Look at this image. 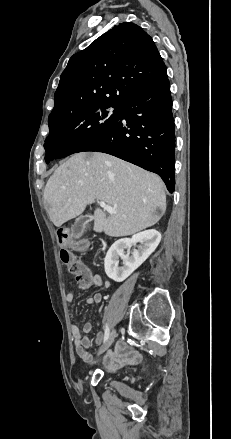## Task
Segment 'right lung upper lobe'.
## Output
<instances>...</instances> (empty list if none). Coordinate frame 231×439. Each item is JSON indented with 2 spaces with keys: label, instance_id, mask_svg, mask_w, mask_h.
Here are the masks:
<instances>
[{
  "label": "right lung upper lobe",
  "instance_id": "obj_1",
  "mask_svg": "<svg viewBox=\"0 0 231 439\" xmlns=\"http://www.w3.org/2000/svg\"><path fill=\"white\" fill-rule=\"evenodd\" d=\"M168 81L152 38L123 22L74 54L63 71L48 121L92 107H122L137 94Z\"/></svg>",
  "mask_w": 231,
  "mask_h": 439
}]
</instances>
